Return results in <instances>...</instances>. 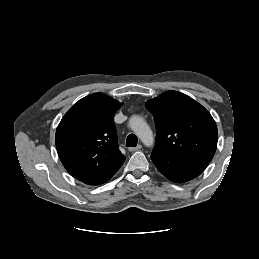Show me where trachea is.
<instances>
[{
    "instance_id": "trachea-1",
    "label": "trachea",
    "mask_w": 259,
    "mask_h": 259,
    "mask_svg": "<svg viewBox=\"0 0 259 259\" xmlns=\"http://www.w3.org/2000/svg\"><path fill=\"white\" fill-rule=\"evenodd\" d=\"M137 136L135 134H129L126 140L127 147H135L137 145Z\"/></svg>"
}]
</instances>
